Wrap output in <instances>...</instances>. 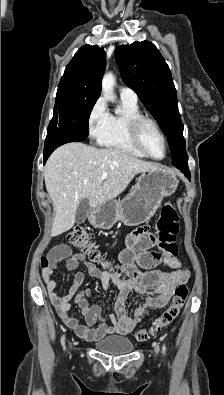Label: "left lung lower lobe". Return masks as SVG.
I'll return each mask as SVG.
<instances>
[{
    "label": "left lung lower lobe",
    "instance_id": "0a47b994",
    "mask_svg": "<svg viewBox=\"0 0 224 395\" xmlns=\"http://www.w3.org/2000/svg\"><path fill=\"white\" fill-rule=\"evenodd\" d=\"M187 162H188V156L185 153L183 156H181V158L177 160H173L172 164L178 169H180L185 174V176L190 180V172L188 169Z\"/></svg>",
    "mask_w": 224,
    "mask_h": 395
}]
</instances>
